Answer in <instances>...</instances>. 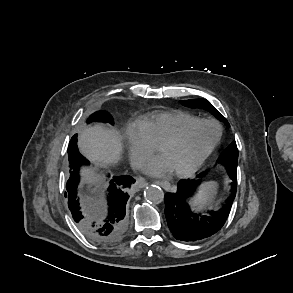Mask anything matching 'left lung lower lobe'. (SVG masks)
I'll return each instance as SVG.
<instances>
[{
  "mask_svg": "<svg viewBox=\"0 0 293 293\" xmlns=\"http://www.w3.org/2000/svg\"><path fill=\"white\" fill-rule=\"evenodd\" d=\"M231 183V196L220 212H210V215H198L190 210L187 198L194 192L199 180H182L178 183L175 193L164 196L165 216L168 227L177 240L197 241L219 231L229 215L232 202L236 195L237 166L227 167ZM202 174L197 175L201 177Z\"/></svg>",
  "mask_w": 293,
  "mask_h": 293,
  "instance_id": "0a47b994",
  "label": "left lung lower lobe"
}]
</instances>
